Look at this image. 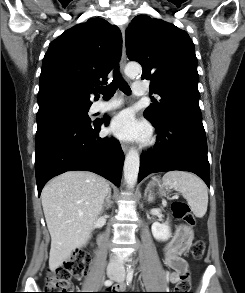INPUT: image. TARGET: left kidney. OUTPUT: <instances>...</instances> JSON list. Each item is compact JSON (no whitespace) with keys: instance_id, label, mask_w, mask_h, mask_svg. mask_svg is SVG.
I'll list each match as a JSON object with an SVG mask.
<instances>
[{"instance_id":"obj_1","label":"left kidney","mask_w":245,"mask_h":293,"mask_svg":"<svg viewBox=\"0 0 245 293\" xmlns=\"http://www.w3.org/2000/svg\"><path fill=\"white\" fill-rule=\"evenodd\" d=\"M152 199V197H149V201H152ZM151 230L156 240L167 241L171 237V231L168 222L163 224L154 222L151 226Z\"/></svg>"}]
</instances>
